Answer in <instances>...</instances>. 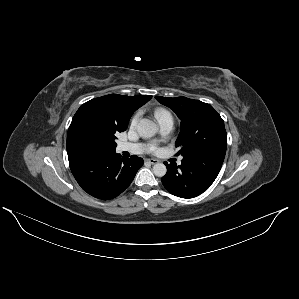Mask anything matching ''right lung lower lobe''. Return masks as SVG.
<instances>
[{
    "mask_svg": "<svg viewBox=\"0 0 299 299\" xmlns=\"http://www.w3.org/2000/svg\"><path fill=\"white\" fill-rule=\"evenodd\" d=\"M72 174L81 188L95 198L108 200L122 193L143 165L138 156L123 159L110 150H85L68 156Z\"/></svg>",
    "mask_w": 299,
    "mask_h": 299,
    "instance_id": "98d812e1",
    "label": "right lung lower lobe"
}]
</instances>
